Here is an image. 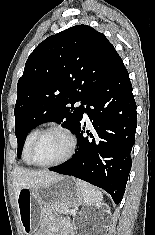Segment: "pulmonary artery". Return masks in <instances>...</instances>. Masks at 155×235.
Listing matches in <instances>:
<instances>
[{
  "mask_svg": "<svg viewBox=\"0 0 155 235\" xmlns=\"http://www.w3.org/2000/svg\"><path fill=\"white\" fill-rule=\"evenodd\" d=\"M81 103L79 102L78 105H80ZM85 107V105H83ZM85 118H87V114H84Z\"/></svg>",
  "mask_w": 155,
  "mask_h": 235,
  "instance_id": "1",
  "label": "pulmonary artery"
}]
</instances>
